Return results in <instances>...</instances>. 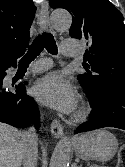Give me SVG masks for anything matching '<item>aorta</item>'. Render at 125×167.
<instances>
[{"instance_id": "aorta-1", "label": "aorta", "mask_w": 125, "mask_h": 167, "mask_svg": "<svg viewBox=\"0 0 125 167\" xmlns=\"http://www.w3.org/2000/svg\"><path fill=\"white\" fill-rule=\"evenodd\" d=\"M72 17L66 11H54L51 14V23L57 30L68 29ZM70 145L68 141H61L55 147L50 160L49 167H68L70 162Z\"/></svg>"}]
</instances>
